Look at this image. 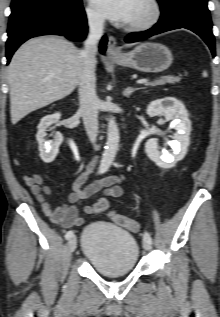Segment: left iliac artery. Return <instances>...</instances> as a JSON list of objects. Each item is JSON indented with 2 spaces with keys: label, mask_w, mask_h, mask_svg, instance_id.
Returning <instances> with one entry per match:
<instances>
[{
  "label": "left iliac artery",
  "mask_w": 220,
  "mask_h": 317,
  "mask_svg": "<svg viewBox=\"0 0 220 317\" xmlns=\"http://www.w3.org/2000/svg\"><path fill=\"white\" fill-rule=\"evenodd\" d=\"M143 238H144V240H147L148 242L152 243V238L148 232L144 233Z\"/></svg>",
  "instance_id": "left-iliac-artery-1"
}]
</instances>
